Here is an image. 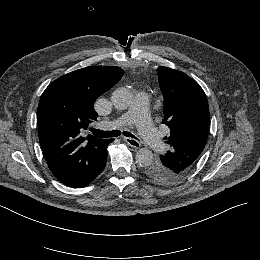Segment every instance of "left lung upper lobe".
<instances>
[{
	"label": "left lung upper lobe",
	"instance_id": "left-lung-upper-lobe-1",
	"mask_svg": "<svg viewBox=\"0 0 260 260\" xmlns=\"http://www.w3.org/2000/svg\"><path fill=\"white\" fill-rule=\"evenodd\" d=\"M164 96V119L170 128L167 143L171 151L146 169L148 177L159 183L182 180L197 164L209 132V107L206 95L197 82L186 74L158 68Z\"/></svg>",
	"mask_w": 260,
	"mask_h": 260
}]
</instances>
